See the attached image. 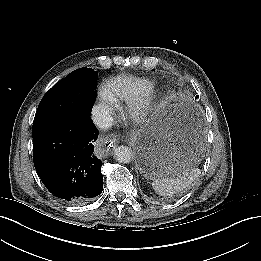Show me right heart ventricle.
Listing matches in <instances>:
<instances>
[{
    "label": "right heart ventricle",
    "instance_id": "e07e8e85",
    "mask_svg": "<svg viewBox=\"0 0 261 261\" xmlns=\"http://www.w3.org/2000/svg\"><path fill=\"white\" fill-rule=\"evenodd\" d=\"M105 90L113 97L115 101L123 100L131 93L127 85L126 78L111 81Z\"/></svg>",
    "mask_w": 261,
    "mask_h": 261
}]
</instances>
